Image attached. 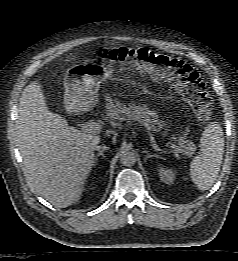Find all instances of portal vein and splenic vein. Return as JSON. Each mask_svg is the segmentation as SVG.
Here are the masks:
<instances>
[{
	"instance_id": "1",
	"label": "portal vein and splenic vein",
	"mask_w": 238,
	"mask_h": 261,
	"mask_svg": "<svg viewBox=\"0 0 238 261\" xmlns=\"http://www.w3.org/2000/svg\"><path fill=\"white\" fill-rule=\"evenodd\" d=\"M81 128L86 133H100V131H101V125L99 123H96L93 121L81 124ZM168 145L175 152L185 154L183 149H181L179 146H177L173 143H168Z\"/></svg>"
}]
</instances>
